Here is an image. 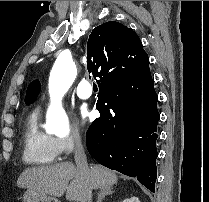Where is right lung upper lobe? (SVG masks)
Wrapping results in <instances>:
<instances>
[{"mask_svg": "<svg viewBox=\"0 0 209 202\" xmlns=\"http://www.w3.org/2000/svg\"><path fill=\"white\" fill-rule=\"evenodd\" d=\"M87 68L105 89H119L141 79L149 70V58L138 35L118 22H106L92 30L87 44Z\"/></svg>", "mask_w": 209, "mask_h": 202, "instance_id": "1", "label": "right lung upper lobe"}]
</instances>
